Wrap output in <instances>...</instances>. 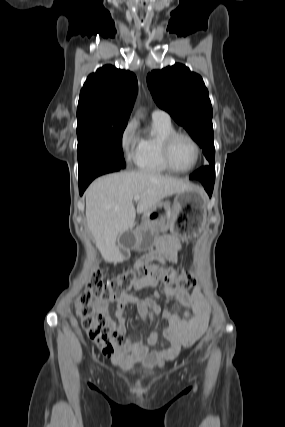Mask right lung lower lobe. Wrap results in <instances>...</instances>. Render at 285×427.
<instances>
[{
	"label": "right lung lower lobe",
	"mask_w": 285,
	"mask_h": 427,
	"mask_svg": "<svg viewBox=\"0 0 285 427\" xmlns=\"http://www.w3.org/2000/svg\"><path fill=\"white\" fill-rule=\"evenodd\" d=\"M120 169H122V168L118 167V166H100V167H96V168L90 170L89 172L85 173L82 176H79V193H80V195L83 194V192L85 191L87 186L90 184V182L93 179H95L96 177L103 175V174H106V173L119 171Z\"/></svg>",
	"instance_id": "right-lung-lower-lobe-1"
}]
</instances>
